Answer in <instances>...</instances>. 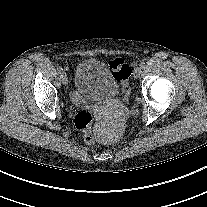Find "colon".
<instances>
[{
	"instance_id": "5ec220e1",
	"label": "colon",
	"mask_w": 207,
	"mask_h": 207,
	"mask_svg": "<svg viewBox=\"0 0 207 207\" xmlns=\"http://www.w3.org/2000/svg\"><path fill=\"white\" fill-rule=\"evenodd\" d=\"M109 68L113 72L117 81L122 85L123 99L127 100L130 94L129 77L131 75V67L122 59H115L110 62ZM94 117L88 110H81L75 116V126L83 132L84 141L89 145H96L97 140L92 131Z\"/></svg>"
}]
</instances>
